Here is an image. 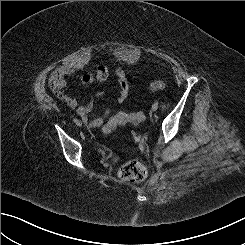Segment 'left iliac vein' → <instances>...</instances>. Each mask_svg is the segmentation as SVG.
<instances>
[{
    "instance_id": "1",
    "label": "left iliac vein",
    "mask_w": 245,
    "mask_h": 245,
    "mask_svg": "<svg viewBox=\"0 0 245 245\" xmlns=\"http://www.w3.org/2000/svg\"><path fill=\"white\" fill-rule=\"evenodd\" d=\"M151 109H152V111H156L158 109V105L157 104H153Z\"/></svg>"
}]
</instances>
